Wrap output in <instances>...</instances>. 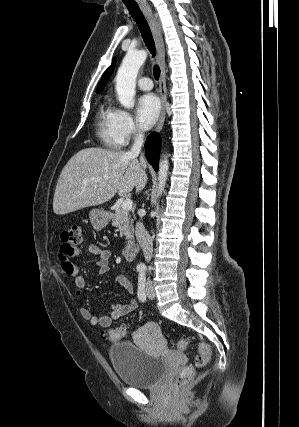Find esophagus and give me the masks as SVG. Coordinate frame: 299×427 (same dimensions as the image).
<instances>
[{"label": "esophagus", "mask_w": 299, "mask_h": 427, "mask_svg": "<svg viewBox=\"0 0 299 427\" xmlns=\"http://www.w3.org/2000/svg\"><path fill=\"white\" fill-rule=\"evenodd\" d=\"M142 11L144 12L146 18L149 21L151 26L156 48H157V57L160 66V83H159V93L161 98V113L156 125L155 131L159 132L165 121L166 117V70H165V47L162 37L161 26L159 22L158 15L153 13L152 9L147 4L140 5Z\"/></svg>", "instance_id": "esophagus-1"}]
</instances>
